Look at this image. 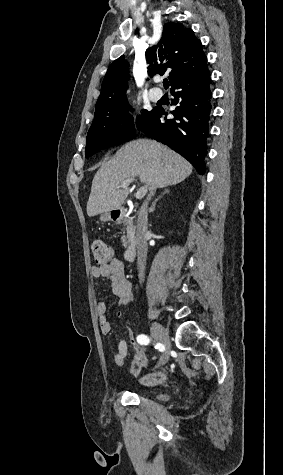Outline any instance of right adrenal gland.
Instances as JSON below:
<instances>
[{
	"label": "right adrenal gland",
	"instance_id": "right-adrenal-gland-1",
	"mask_svg": "<svg viewBox=\"0 0 283 475\" xmlns=\"http://www.w3.org/2000/svg\"><path fill=\"white\" fill-rule=\"evenodd\" d=\"M164 194H169V190H165V192H163V194H161V196H159V198H157V200H154V202H152V204L150 206V212H152V210H155V206H156L158 200H160V198H162V196H164Z\"/></svg>",
	"mask_w": 283,
	"mask_h": 475
}]
</instances>
